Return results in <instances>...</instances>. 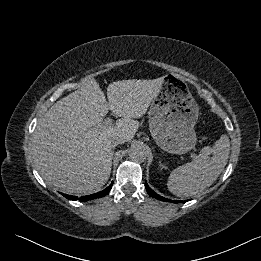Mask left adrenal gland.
<instances>
[{"label": "left adrenal gland", "instance_id": "left-adrenal-gland-1", "mask_svg": "<svg viewBox=\"0 0 261 261\" xmlns=\"http://www.w3.org/2000/svg\"><path fill=\"white\" fill-rule=\"evenodd\" d=\"M159 163H160L159 165H160V168H161V169L165 168V165L162 164L161 161H160Z\"/></svg>", "mask_w": 261, "mask_h": 261}]
</instances>
